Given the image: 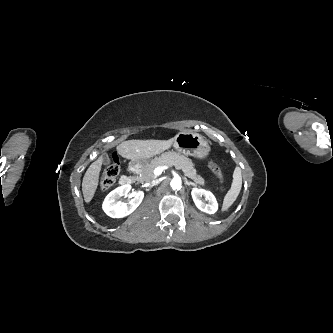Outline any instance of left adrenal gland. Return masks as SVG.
<instances>
[{"label":"left adrenal gland","mask_w":333,"mask_h":333,"mask_svg":"<svg viewBox=\"0 0 333 333\" xmlns=\"http://www.w3.org/2000/svg\"><path fill=\"white\" fill-rule=\"evenodd\" d=\"M185 183H186L187 185H192V186H194V187L197 186L195 183H193V182H191V181H188L187 179H185Z\"/></svg>","instance_id":"a2214340"}]
</instances>
